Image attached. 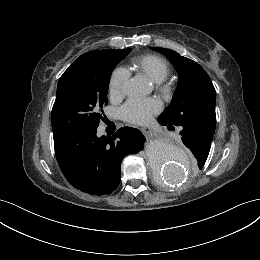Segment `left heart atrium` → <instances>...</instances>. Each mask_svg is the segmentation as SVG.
Wrapping results in <instances>:
<instances>
[{
	"mask_svg": "<svg viewBox=\"0 0 260 260\" xmlns=\"http://www.w3.org/2000/svg\"><path fill=\"white\" fill-rule=\"evenodd\" d=\"M158 110L159 104L154 99L132 98L121 107L120 114L129 123L145 124Z\"/></svg>",
	"mask_w": 260,
	"mask_h": 260,
	"instance_id": "obj_1",
	"label": "left heart atrium"
}]
</instances>
